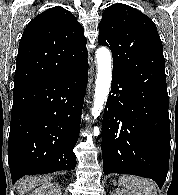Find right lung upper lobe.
I'll use <instances>...</instances> for the list:
<instances>
[{
	"mask_svg": "<svg viewBox=\"0 0 178 195\" xmlns=\"http://www.w3.org/2000/svg\"><path fill=\"white\" fill-rule=\"evenodd\" d=\"M83 27L60 6L37 15L19 43L14 85L64 76L88 63Z\"/></svg>",
	"mask_w": 178,
	"mask_h": 195,
	"instance_id": "cb5924a9",
	"label": "right lung upper lobe"
}]
</instances>
